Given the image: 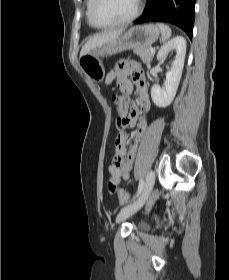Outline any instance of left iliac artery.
<instances>
[{
    "label": "left iliac artery",
    "instance_id": "44dca946",
    "mask_svg": "<svg viewBox=\"0 0 229 280\" xmlns=\"http://www.w3.org/2000/svg\"><path fill=\"white\" fill-rule=\"evenodd\" d=\"M143 185H144V181L143 179H140L139 185H138V190L136 195L133 197L132 200H134L137 196H139V194L141 193L142 189H143Z\"/></svg>",
    "mask_w": 229,
    "mask_h": 280
}]
</instances>
